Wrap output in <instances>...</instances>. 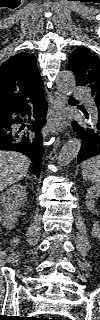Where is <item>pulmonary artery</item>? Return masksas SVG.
<instances>
[{
    "label": "pulmonary artery",
    "instance_id": "obj_1",
    "mask_svg": "<svg viewBox=\"0 0 100 320\" xmlns=\"http://www.w3.org/2000/svg\"><path fill=\"white\" fill-rule=\"evenodd\" d=\"M74 96L76 99H82V100L87 101V105H88L89 109L92 112L95 111V105L92 101V97L87 90H85L83 88H76Z\"/></svg>",
    "mask_w": 100,
    "mask_h": 320
}]
</instances>
